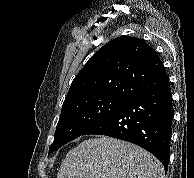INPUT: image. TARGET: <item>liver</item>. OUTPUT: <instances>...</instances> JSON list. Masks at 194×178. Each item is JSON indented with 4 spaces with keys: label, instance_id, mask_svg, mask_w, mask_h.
<instances>
[{
    "label": "liver",
    "instance_id": "1",
    "mask_svg": "<svg viewBox=\"0 0 194 178\" xmlns=\"http://www.w3.org/2000/svg\"><path fill=\"white\" fill-rule=\"evenodd\" d=\"M161 162L132 143L107 136L87 139L70 150L57 178H163Z\"/></svg>",
    "mask_w": 194,
    "mask_h": 178
}]
</instances>
